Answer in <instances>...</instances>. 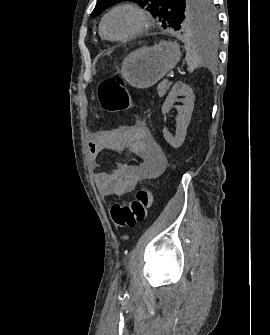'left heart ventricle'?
I'll use <instances>...</instances> for the list:
<instances>
[{"instance_id":"1","label":"left heart ventricle","mask_w":270,"mask_h":335,"mask_svg":"<svg viewBox=\"0 0 270 335\" xmlns=\"http://www.w3.org/2000/svg\"><path fill=\"white\" fill-rule=\"evenodd\" d=\"M141 25L140 17L129 9L112 13L106 20V32L111 37H121L137 30Z\"/></svg>"}]
</instances>
